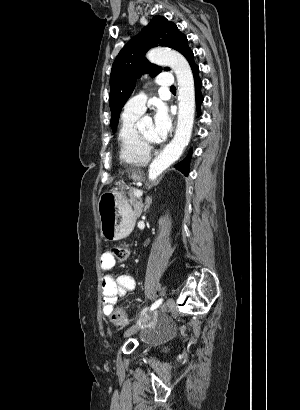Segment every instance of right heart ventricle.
Here are the masks:
<instances>
[{
    "label": "right heart ventricle",
    "instance_id": "obj_1",
    "mask_svg": "<svg viewBox=\"0 0 300 410\" xmlns=\"http://www.w3.org/2000/svg\"><path fill=\"white\" fill-rule=\"evenodd\" d=\"M140 113L124 111L122 114L117 140L120 160L130 165H144L150 160V148L141 142L136 123Z\"/></svg>",
    "mask_w": 300,
    "mask_h": 410
}]
</instances>
